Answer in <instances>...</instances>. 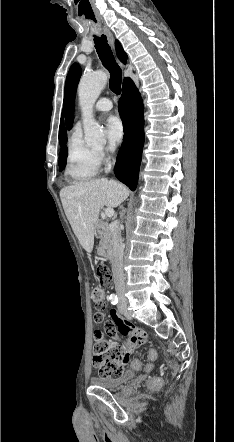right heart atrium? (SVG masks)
<instances>
[{
  "label": "right heart atrium",
  "mask_w": 234,
  "mask_h": 442,
  "mask_svg": "<svg viewBox=\"0 0 234 442\" xmlns=\"http://www.w3.org/2000/svg\"><path fill=\"white\" fill-rule=\"evenodd\" d=\"M98 156L101 161H105L107 159V155L104 152H99Z\"/></svg>",
  "instance_id": "d8ad5b80"
}]
</instances>
